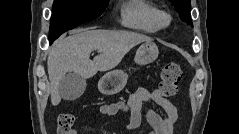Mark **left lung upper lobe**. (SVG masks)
<instances>
[{
	"instance_id": "left-lung-upper-lobe-1",
	"label": "left lung upper lobe",
	"mask_w": 239,
	"mask_h": 134,
	"mask_svg": "<svg viewBox=\"0 0 239 134\" xmlns=\"http://www.w3.org/2000/svg\"><path fill=\"white\" fill-rule=\"evenodd\" d=\"M170 2L175 6V9L182 21L190 24V26L193 27L190 14V0H170Z\"/></svg>"
}]
</instances>
